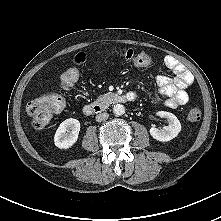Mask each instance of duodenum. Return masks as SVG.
I'll list each match as a JSON object with an SVG mask.
<instances>
[{
    "instance_id": "duodenum-1",
    "label": "duodenum",
    "mask_w": 221,
    "mask_h": 221,
    "mask_svg": "<svg viewBox=\"0 0 221 221\" xmlns=\"http://www.w3.org/2000/svg\"><path fill=\"white\" fill-rule=\"evenodd\" d=\"M135 99V94H122L116 96L115 101L118 103H125L134 101ZM82 111L85 115H92L95 113H101L103 111V107L100 104H87L82 108Z\"/></svg>"
}]
</instances>
